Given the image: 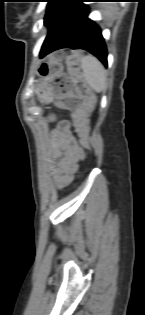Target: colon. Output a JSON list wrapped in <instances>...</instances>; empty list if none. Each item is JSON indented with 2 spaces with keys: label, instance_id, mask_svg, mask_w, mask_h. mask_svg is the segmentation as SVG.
I'll return each instance as SVG.
<instances>
[{
  "label": "colon",
  "instance_id": "1",
  "mask_svg": "<svg viewBox=\"0 0 145 315\" xmlns=\"http://www.w3.org/2000/svg\"><path fill=\"white\" fill-rule=\"evenodd\" d=\"M62 52L51 54L40 66V74L47 79L55 94L59 109L73 111L76 131L84 147L89 148V115L94 96L85 84L81 70V54L74 53L67 60V73L63 71Z\"/></svg>",
  "mask_w": 145,
  "mask_h": 315
}]
</instances>
